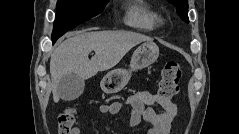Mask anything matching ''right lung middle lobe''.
<instances>
[{
    "label": "right lung middle lobe",
    "mask_w": 239,
    "mask_h": 134,
    "mask_svg": "<svg viewBox=\"0 0 239 134\" xmlns=\"http://www.w3.org/2000/svg\"><path fill=\"white\" fill-rule=\"evenodd\" d=\"M109 0H58L52 32L53 43L77 25L97 16Z\"/></svg>",
    "instance_id": "right-lung-middle-lobe-1"
}]
</instances>
